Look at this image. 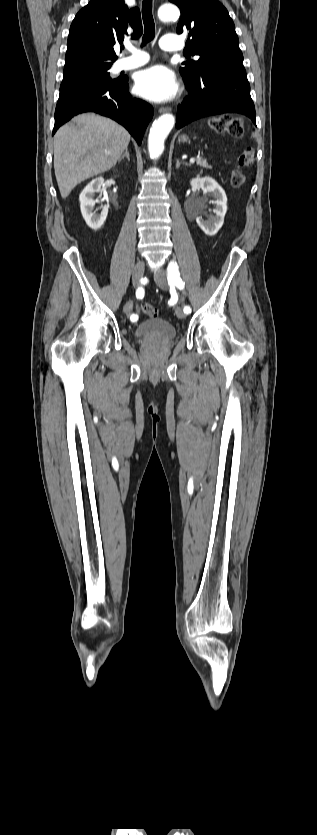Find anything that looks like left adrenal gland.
<instances>
[{
  "label": "left adrenal gland",
  "instance_id": "obj_1",
  "mask_svg": "<svg viewBox=\"0 0 317 835\" xmlns=\"http://www.w3.org/2000/svg\"><path fill=\"white\" fill-rule=\"evenodd\" d=\"M182 164H183V165H188V166H190V165H191L190 163H186V162H183ZM180 165H181V163L179 162V160H177V162H176V168L178 169V168L180 167Z\"/></svg>",
  "mask_w": 317,
  "mask_h": 835
}]
</instances>
